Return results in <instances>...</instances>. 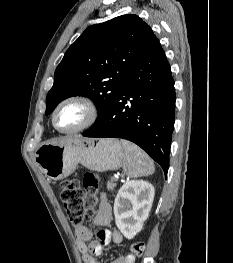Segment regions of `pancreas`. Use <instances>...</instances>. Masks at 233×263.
I'll return each instance as SVG.
<instances>
[{"mask_svg": "<svg viewBox=\"0 0 233 263\" xmlns=\"http://www.w3.org/2000/svg\"><path fill=\"white\" fill-rule=\"evenodd\" d=\"M116 186V184L114 183V182H108L107 183V189H108V191H113L114 190V187Z\"/></svg>", "mask_w": 233, "mask_h": 263, "instance_id": "obj_1", "label": "pancreas"}]
</instances>
